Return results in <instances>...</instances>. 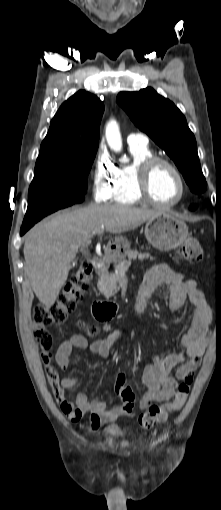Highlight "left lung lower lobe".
Instances as JSON below:
<instances>
[{
	"mask_svg": "<svg viewBox=\"0 0 221 510\" xmlns=\"http://www.w3.org/2000/svg\"><path fill=\"white\" fill-rule=\"evenodd\" d=\"M191 208H192V209H195V208H196V206H192Z\"/></svg>",
	"mask_w": 221,
	"mask_h": 510,
	"instance_id": "0a47b994",
	"label": "left lung lower lobe"
}]
</instances>
